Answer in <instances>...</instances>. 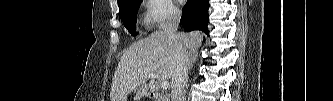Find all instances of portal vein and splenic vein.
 I'll return each instance as SVG.
<instances>
[{"instance_id":"18ae733b","label":"portal vein and splenic vein","mask_w":333,"mask_h":101,"mask_svg":"<svg viewBox=\"0 0 333 101\" xmlns=\"http://www.w3.org/2000/svg\"><path fill=\"white\" fill-rule=\"evenodd\" d=\"M148 77H149L150 79H156V78H158V76H157L156 74H149ZM161 87H162L163 89H167V88L169 87V83H168V81H162V82H161Z\"/></svg>"}]
</instances>
